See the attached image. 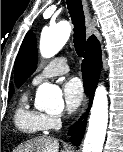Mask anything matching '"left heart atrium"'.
I'll return each instance as SVG.
<instances>
[{"label": "left heart atrium", "instance_id": "39dd6f15", "mask_svg": "<svg viewBox=\"0 0 123 152\" xmlns=\"http://www.w3.org/2000/svg\"><path fill=\"white\" fill-rule=\"evenodd\" d=\"M65 107L69 112L79 108L84 95L81 81L78 78H70L62 87Z\"/></svg>", "mask_w": 123, "mask_h": 152}]
</instances>
